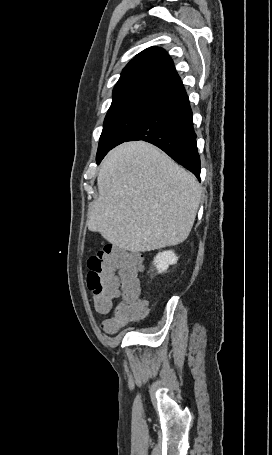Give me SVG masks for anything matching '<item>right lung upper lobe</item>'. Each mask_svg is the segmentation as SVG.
<instances>
[{"mask_svg": "<svg viewBox=\"0 0 272 455\" xmlns=\"http://www.w3.org/2000/svg\"><path fill=\"white\" fill-rule=\"evenodd\" d=\"M184 93L172 59L162 48L150 47L123 69L113 90L112 103L143 98L166 104Z\"/></svg>", "mask_w": 272, "mask_h": 455, "instance_id": "cb5924a9", "label": "right lung upper lobe"}]
</instances>
